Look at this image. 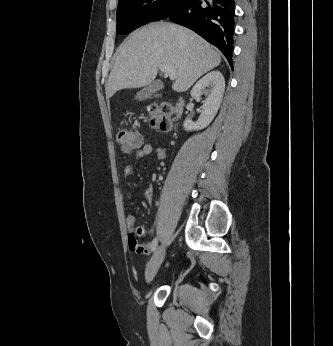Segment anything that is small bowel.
I'll list each match as a JSON object with an SVG mask.
<instances>
[{
	"mask_svg": "<svg viewBox=\"0 0 333 346\" xmlns=\"http://www.w3.org/2000/svg\"><path fill=\"white\" fill-rule=\"evenodd\" d=\"M151 154H154L155 159L157 161H163L166 158V150L161 145H152V144H145L140 149L136 150L134 153V156L136 158H144L146 156H149ZM134 173V167L132 165H127L124 168V175L126 177L132 176ZM153 197V188L149 187L146 192V200L148 202L152 201ZM134 193L129 192L128 199L133 200ZM134 217L132 215H129L126 218V224L129 229L127 232V246L130 250H132V254H151V245L152 243H142V239H140V236L138 235L137 228L134 225Z\"/></svg>",
	"mask_w": 333,
	"mask_h": 346,
	"instance_id": "1",
	"label": "small bowel"
}]
</instances>
